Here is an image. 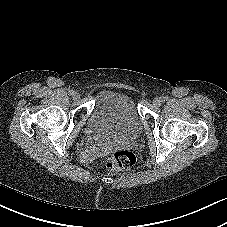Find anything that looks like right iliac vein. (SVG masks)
<instances>
[{
    "label": "right iliac vein",
    "instance_id": "1",
    "mask_svg": "<svg viewBox=\"0 0 227 227\" xmlns=\"http://www.w3.org/2000/svg\"><path fill=\"white\" fill-rule=\"evenodd\" d=\"M74 100H78L80 98L79 93H74V95L72 96Z\"/></svg>",
    "mask_w": 227,
    "mask_h": 227
}]
</instances>
